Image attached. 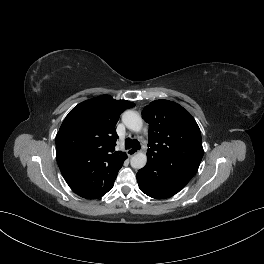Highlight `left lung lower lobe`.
Masks as SVG:
<instances>
[{
  "instance_id": "0a47b994",
  "label": "left lung lower lobe",
  "mask_w": 264,
  "mask_h": 264,
  "mask_svg": "<svg viewBox=\"0 0 264 264\" xmlns=\"http://www.w3.org/2000/svg\"><path fill=\"white\" fill-rule=\"evenodd\" d=\"M140 190L146 195L163 199L179 192L190 180L182 173H168L162 171L159 165L148 160L144 168L136 174Z\"/></svg>"
}]
</instances>
